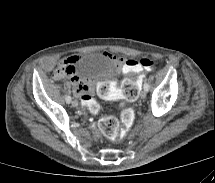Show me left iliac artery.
<instances>
[{
  "label": "left iliac artery",
  "mask_w": 215,
  "mask_h": 183,
  "mask_svg": "<svg viewBox=\"0 0 215 183\" xmlns=\"http://www.w3.org/2000/svg\"><path fill=\"white\" fill-rule=\"evenodd\" d=\"M144 90H146V91L149 90V84H148V83H145V84H144Z\"/></svg>",
  "instance_id": "obj_1"
}]
</instances>
